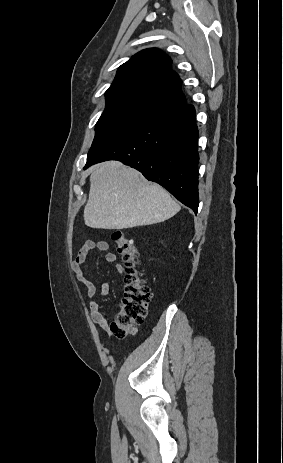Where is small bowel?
I'll use <instances>...</instances> for the list:
<instances>
[{
  "mask_svg": "<svg viewBox=\"0 0 283 463\" xmlns=\"http://www.w3.org/2000/svg\"><path fill=\"white\" fill-rule=\"evenodd\" d=\"M97 249L102 252H106V261L108 263L114 264L115 271L119 274L123 272V266L120 263H117V257L113 252H109V243L105 240L100 241H86L79 249L76 257L72 262V268L76 273V276L79 281H81L85 288L86 294L89 299V309L92 321L100 326L105 332H109V322L107 318L100 311V305L95 299L97 295V286L96 283L89 278L84 273V265L87 261L89 253ZM100 292L101 297H105L109 293V284L106 281H101L100 283Z\"/></svg>",
  "mask_w": 283,
  "mask_h": 463,
  "instance_id": "1",
  "label": "small bowel"
}]
</instances>
